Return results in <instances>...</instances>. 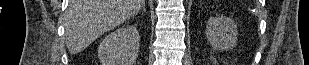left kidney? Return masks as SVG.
<instances>
[{
    "label": "left kidney",
    "instance_id": "5707ae66",
    "mask_svg": "<svg viewBox=\"0 0 309 65\" xmlns=\"http://www.w3.org/2000/svg\"><path fill=\"white\" fill-rule=\"evenodd\" d=\"M206 37L213 49L223 51L236 45L237 25L225 16L211 17L207 21Z\"/></svg>",
    "mask_w": 309,
    "mask_h": 65
}]
</instances>
